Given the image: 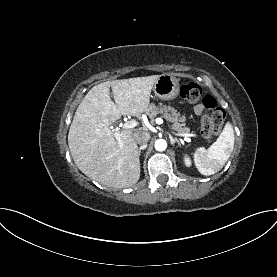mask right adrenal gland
Returning <instances> with one entry per match:
<instances>
[{
  "mask_svg": "<svg viewBox=\"0 0 277 277\" xmlns=\"http://www.w3.org/2000/svg\"><path fill=\"white\" fill-rule=\"evenodd\" d=\"M146 147H147V145H143V146H140V147H139V149H138V154H139V156L141 155V151H142V150H145Z\"/></svg>",
  "mask_w": 277,
  "mask_h": 277,
  "instance_id": "2a0ac1e0",
  "label": "right adrenal gland"
}]
</instances>
